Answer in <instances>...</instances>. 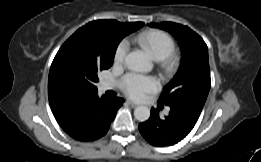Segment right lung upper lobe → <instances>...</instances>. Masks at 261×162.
<instances>
[{
    "instance_id": "obj_1",
    "label": "right lung upper lobe",
    "mask_w": 261,
    "mask_h": 162,
    "mask_svg": "<svg viewBox=\"0 0 261 162\" xmlns=\"http://www.w3.org/2000/svg\"><path fill=\"white\" fill-rule=\"evenodd\" d=\"M100 21H106V20H99L97 22H100ZM137 23H142V22H135V23H129V24H137ZM91 95H93V94H91ZM91 95H88V96H85L82 98H77V99H64V100H55V99L50 98L49 95H48V97H49V103H50L51 110H52L54 116H56V115L62 113L68 107H70L74 104L80 103L82 100H85L87 97H89Z\"/></svg>"
}]
</instances>
